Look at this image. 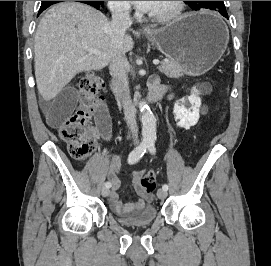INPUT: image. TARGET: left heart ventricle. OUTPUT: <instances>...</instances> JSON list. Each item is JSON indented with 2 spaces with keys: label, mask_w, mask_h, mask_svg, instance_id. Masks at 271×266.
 Listing matches in <instances>:
<instances>
[{
  "label": "left heart ventricle",
  "mask_w": 271,
  "mask_h": 266,
  "mask_svg": "<svg viewBox=\"0 0 271 266\" xmlns=\"http://www.w3.org/2000/svg\"><path fill=\"white\" fill-rule=\"evenodd\" d=\"M172 1H156L150 13H163L170 9Z\"/></svg>",
  "instance_id": "obj_1"
}]
</instances>
